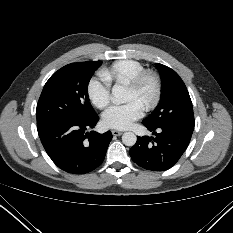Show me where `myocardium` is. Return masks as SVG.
<instances>
[{
  "label": "myocardium",
  "mask_w": 233,
  "mask_h": 233,
  "mask_svg": "<svg viewBox=\"0 0 233 233\" xmlns=\"http://www.w3.org/2000/svg\"><path fill=\"white\" fill-rule=\"evenodd\" d=\"M147 81L152 83L153 94L143 107L145 110H152L159 104L162 96V81L159 74L154 70L144 69L128 82V86L140 92Z\"/></svg>",
  "instance_id": "obj_1"
}]
</instances>
